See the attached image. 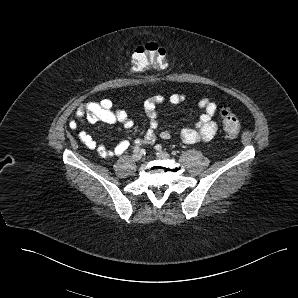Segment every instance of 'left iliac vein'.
<instances>
[{
  "label": "left iliac vein",
  "mask_w": 298,
  "mask_h": 298,
  "mask_svg": "<svg viewBox=\"0 0 298 298\" xmlns=\"http://www.w3.org/2000/svg\"><path fill=\"white\" fill-rule=\"evenodd\" d=\"M156 156L159 158V159H162V160H167L170 158L169 154L166 153V152H157L156 153Z\"/></svg>",
  "instance_id": "left-iliac-vein-1"
}]
</instances>
